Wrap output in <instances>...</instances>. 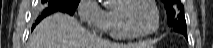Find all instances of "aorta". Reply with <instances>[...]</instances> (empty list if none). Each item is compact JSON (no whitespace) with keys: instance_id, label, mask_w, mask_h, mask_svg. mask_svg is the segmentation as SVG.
I'll return each instance as SVG.
<instances>
[{"instance_id":"aorta-1","label":"aorta","mask_w":213,"mask_h":48,"mask_svg":"<svg viewBox=\"0 0 213 48\" xmlns=\"http://www.w3.org/2000/svg\"><path fill=\"white\" fill-rule=\"evenodd\" d=\"M104 4H109L110 2H113L114 0H101Z\"/></svg>"}]
</instances>
